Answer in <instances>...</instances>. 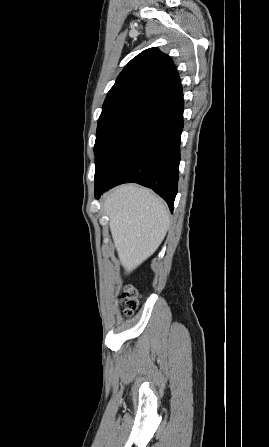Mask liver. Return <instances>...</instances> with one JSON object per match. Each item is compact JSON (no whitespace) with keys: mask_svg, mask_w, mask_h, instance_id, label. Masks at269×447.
Returning <instances> with one entry per match:
<instances>
[{"mask_svg":"<svg viewBox=\"0 0 269 447\" xmlns=\"http://www.w3.org/2000/svg\"><path fill=\"white\" fill-rule=\"evenodd\" d=\"M104 212L109 216L115 247L126 271H132L156 251L170 225L162 200L135 184L109 192Z\"/></svg>","mask_w":269,"mask_h":447,"instance_id":"1","label":"liver"}]
</instances>
